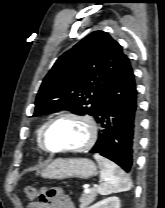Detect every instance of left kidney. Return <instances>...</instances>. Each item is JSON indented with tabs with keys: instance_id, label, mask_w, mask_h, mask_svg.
Returning <instances> with one entry per match:
<instances>
[{
	"instance_id": "left-kidney-1",
	"label": "left kidney",
	"mask_w": 165,
	"mask_h": 208,
	"mask_svg": "<svg viewBox=\"0 0 165 208\" xmlns=\"http://www.w3.org/2000/svg\"><path fill=\"white\" fill-rule=\"evenodd\" d=\"M89 208H120V199L118 197H108L95 203Z\"/></svg>"
}]
</instances>
